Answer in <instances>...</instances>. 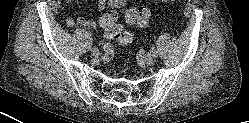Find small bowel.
Instances as JSON below:
<instances>
[{"label": "small bowel", "instance_id": "small-bowel-1", "mask_svg": "<svg viewBox=\"0 0 249 123\" xmlns=\"http://www.w3.org/2000/svg\"><path fill=\"white\" fill-rule=\"evenodd\" d=\"M74 0H64V2L66 3V5H71L73 3ZM87 1V0H85ZM106 4V0H98V6H97V10L100 12L104 9ZM66 24L68 27L72 28L76 25L79 26H83L86 28H94L96 27L97 23L95 20L93 19H86V18H82V17H78L76 19H74L73 17H67L66 19Z\"/></svg>", "mask_w": 249, "mask_h": 123}]
</instances>
